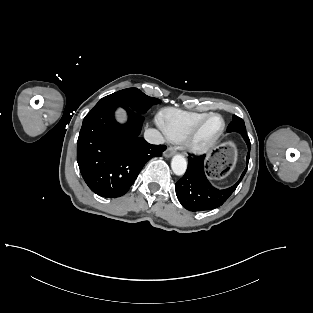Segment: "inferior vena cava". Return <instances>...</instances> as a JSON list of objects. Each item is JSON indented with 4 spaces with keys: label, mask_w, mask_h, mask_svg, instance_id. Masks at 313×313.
Segmentation results:
<instances>
[{
    "label": "inferior vena cava",
    "mask_w": 313,
    "mask_h": 313,
    "mask_svg": "<svg viewBox=\"0 0 313 313\" xmlns=\"http://www.w3.org/2000/svg\"><path fill=\"white\" fill-rule=\"evenodd\" d=\"M144 138L151 144L159 145L164 143V137L155 129H147L144 132Z\"/></svg>",
    "instance_id": "inferior-vena-cava-1"
}]
</instances>
